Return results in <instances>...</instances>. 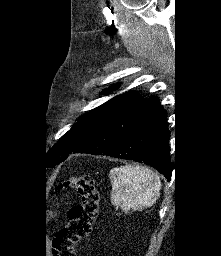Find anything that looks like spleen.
I'll return each mask as SVG.
<instances>
[{
    "label": "spleen",
    "mask_w": 221,
    "mask_h": 256,
    "mask_svg": "<svg viewBox=\"0 0 221 256\" xmlns=\"http://www.w3.org/2000/svg\"><path fill=\"white\" fill-rule=\"evenodd\" d=\"M109 178L111 203L125 213L151 207L160 193V178L146 167L125 165L112 168Z\"/></svg>",
    "instance_id": "3e777b00"
}]
</instances>
